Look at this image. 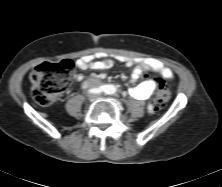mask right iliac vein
Returning a JSON list of instances; mask_svg holds the SVG:
<instances>
[{"label":"right iliac vein","instance_id":"right-iliac-vein-1","mask_svg":"<svg viewBox=\"0 0 222 187\" xmlns=\"http://www.w3.org/2000/svg\"><path fill=\"white\" fill-rule=\"evenodd\" d=\"M93 97H94L93 95H90V96H89L90 99H92Z\"/></svg>","mask_w":222,"mask_h":187}]
</instances>
